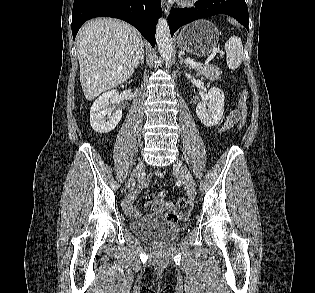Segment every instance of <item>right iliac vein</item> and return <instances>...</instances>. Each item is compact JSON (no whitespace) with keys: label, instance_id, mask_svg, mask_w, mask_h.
<instances>
[{"label":"right iliac vein","instance_id":"1","mask_svg":"<svg viewBox=\"0 0 315 293\" xmlns=\"http://www.w3.org/2000/svg\"><path fill=\"white\" fill-rule=\"evenodd\" d=\"M143 167V164L141 162H139L135 169L133 170L132 174H131V185H130V189L132 190L135 186V179L138 176V174L141 172V169Z\"/></svg>","mask_w":315,"mask_h":293}]
</instances>
